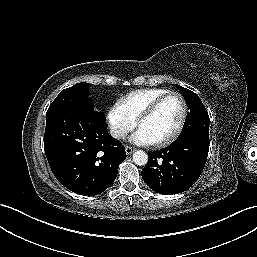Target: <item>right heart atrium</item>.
<instances>
[{
	"label": "right heart atrium",
	"instance_id": "d8ad5b80",
	"mask_svg": "<svg viewBox=\"0 0 257 257\" xmlns=\"http://www.w3.org/2000/svg\"><path fill=\"white\" fill-rule=\"evenodd\" d=\"M107 122L111 135L116 139L125 138L136 125V120L129 115L120 101L109 107Z\"/></svg>",
	"mask_w": 257,
	"mask_h": 257
}]
</instances>
